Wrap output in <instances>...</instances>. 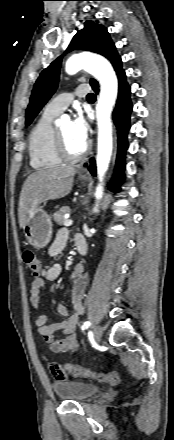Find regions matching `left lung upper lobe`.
<instances>
[{
	"instance_id": "left-lung-upper-lobe-1",
	"label": "left lung upper lobe",
	"mask_w": 174,
	"mask_h": 440,
	"mask_svg": "<svg viewBox=\"0 0 174 440\" xmlns=\"http://www.w3.org/2000/svg\"><path fill=\"white\" fill-rule=\"evenodd\" d=\"M73 49L92 51L103 55L108 60L118 54L106 27L89 20L85 22L84 29L78 31L73 37L67 51ZM61 61L62 56L44 69L37 79L26 110V125L32 122L55 92L59 81ZM95 82L94 79L90 80V84Z\"/></svg>"
}]
</instances>
